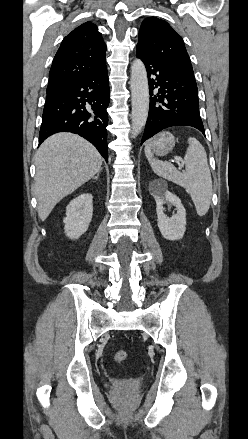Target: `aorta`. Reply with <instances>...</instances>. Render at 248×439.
<instances>
[{
    "label": "aorta",
    "mask_w": 248,
    "mask_h": 439,
    "mask_svg": "<svg viewBox=\"0 0 248 439\" xmlns=\"http://www.w3.org/2000/svg\"><path fill=\"white\" fill-rule=\"evenodd\" d=\"M132 137L146 124L149 110V86L144 63L135 59L131 65Z\"/></svg>",
    "instance_id": "762f6f07"
}]
</instances>
